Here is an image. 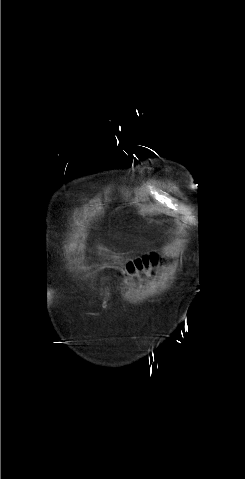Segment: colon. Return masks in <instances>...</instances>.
Masks as SVG:
<instances>
[{
    "mask_svg": "<svg viewBox=\"0 0 245 479\" xmlns=\"http://www.w3.org/2000/svg\"><path fill=\"white\" fill-rule=\"evenodd\" d=\"M158 264V258L155 255H145L143 257L137 258L130 262L126 268V272H133V271H140L145 268H148L149 266H155Z\"/></svg>",
    "mask_w": 245,
    "mask_h": 479,
    "instance_id": "obj_1",
    "label": "colon"
}]
</instances>
